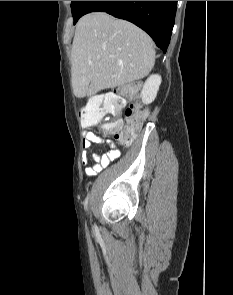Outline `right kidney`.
<instances>
[{"label": "right kidney", "mask_w": 233, "mask_h": 295, "mask_svg": "<svg viewBox=\"0 0 233 295\" xmlns=\"http://www.w3.org/2000/svg\"><path fill=\"white\" fill-rule=\"evenodd\" d=\"M161 84V76L158 74L151 75L144 83L141 90V99L144 104H150L154 101Z\"/></svg>", "instance_id": "obj_1"}]
</instances>
